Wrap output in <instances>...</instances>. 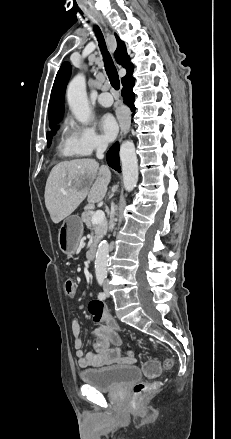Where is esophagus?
<instances>
[{"label":"esophagus","mask_w":231,"mask_h":439,"mask_svg":"<svg viewBox=\"0 0 231 439\" xmlns=\"http://www.w3.org/2000/svg\"><path fill=\"white\" fill-rule=\"evenodd\" d=\"M101 20V22L103 23V21H102V19H100ZM129 122H124L122 125H121V132H120V137L122 138L127 132H128V130H129Z\"/></svg>","instance_id":"34e87169"}]
</instances>
